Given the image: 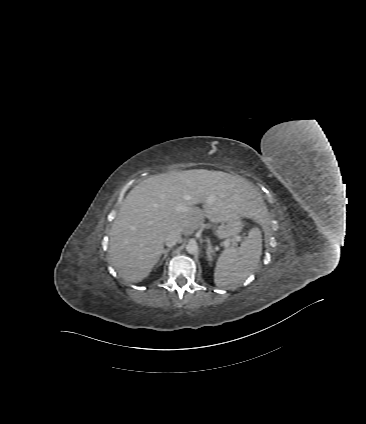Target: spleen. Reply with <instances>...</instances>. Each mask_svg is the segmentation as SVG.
Wrapping results in <instances>:
<instances>
[{
	"instance_id": "1",
	"label": "spleen",
	"mask_w": 366,
	"mask_h": 424,
	"mask_svg": "<svg viewBox=\"0 0 366 424\" xmlns=\"http://www.w3.org/2000/svg\"><path fill=\"white\" fill-rule=\"evenodd\" d=\"M262 254V235L253 227L239 248L225 249L214 270V282L219 287L235 289L253 273Z\"/></svg>"
}]
</instances>
